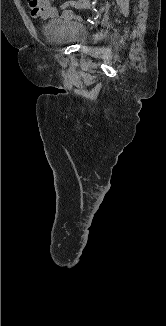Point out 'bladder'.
<instances>
[{"label": "bladder", "mask_w": 166, "mask_h": 326, "mask_svg": "<svg viewBox=\"0 0 166 326\" xmlns=\"http://www.w3.org/2000/svg\"><path fill=\"white\" fill-rule=\"evenodd\" d=\"M47 38L58 44H83L87 39V29L74 19L62 17L50 19L44 25Z\"/></svg>", "instance_id": "1"}]
</instances>
